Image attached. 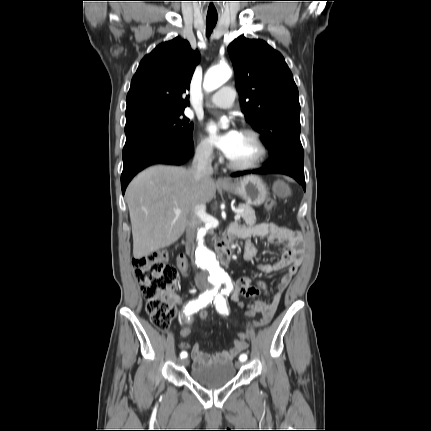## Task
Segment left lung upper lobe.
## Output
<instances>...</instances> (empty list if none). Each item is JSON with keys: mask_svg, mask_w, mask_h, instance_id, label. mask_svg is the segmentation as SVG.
Returning a JSON list of instances; mask_svg holds the SVG:
<instances>
[{"mask_svg": "<svg viewBox=\"0 0 431 431\" xmlns=\"http://www.w3.org/2000/svg\"><path fill=\"white\" fill-rule=\"evenodd\" d=\"M242 112L273 154L303 149L297 86L283 56L263 40L237 38L228 46Z\"/></svg>", "mask_w": 431, "mask_h": 431, "instance_id": "obj_1", "label": "left lung upper lobe"}]
</instances>
